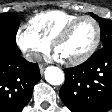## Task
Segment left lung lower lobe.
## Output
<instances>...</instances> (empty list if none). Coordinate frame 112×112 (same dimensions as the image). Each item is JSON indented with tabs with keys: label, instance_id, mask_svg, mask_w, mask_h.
<instances>
[{
	"label": "left lung lower lobe",
	"instance_id": "obj_1",
	"mask_svg": "<svg viewBox=\"0 0 112 112\" xmlns=\"http://www.w3.org/2000/svg\"><path fill=\"white\" fill-rule=\"evenodd\" d=\"M59 95L71 112L112 109V45L102 47L79 66L67 68Z\"/></svg>",
	"mask_w": 112,
	"mask_h": 112
}]
</instances>
